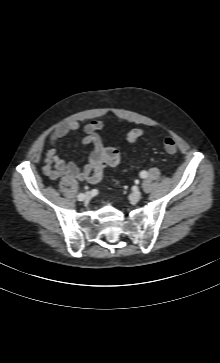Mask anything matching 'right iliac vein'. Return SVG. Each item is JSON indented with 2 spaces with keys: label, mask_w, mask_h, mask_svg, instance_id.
<instances>
[{
  "label": "right iliac vein",
  "mask_w": 220,
  "mask_h": 363,
  "mask_svg": "<svg viewBox=\"0 0 220 363\" xmlns=\"http://www.w3.org/2000/svg\"><path fill=\"white\" fill-rule=\"evenodd\" d=\"M90 194L89 193H87L85 196H84V200H89L90 199Z\"/></svg>",
  "instance_id": "right-iliac-vein-1"
}]
</instances>
